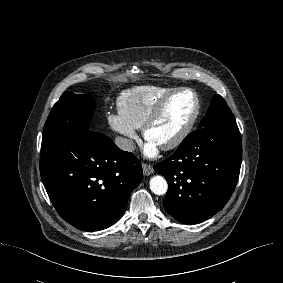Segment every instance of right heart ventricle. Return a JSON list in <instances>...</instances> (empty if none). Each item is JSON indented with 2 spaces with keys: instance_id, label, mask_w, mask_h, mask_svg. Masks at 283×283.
<instances>
[{
  "instance_id": "1",
  "label": "right heart ventricle",
  "mask_w": 283,
  "mask_h": 283,
  "mask_svg": "<svg viewBox=\"0 0 283 283\" xmlns=\"http://www.w3.org/2000/svg\"><path fill=\"white\" fill-rule=\"evenodd\" d=\"M173 90L149 85L133 88L119 98L118 110L129 124L142 128L155 105Z\"/></svg>"
}]
</instances>
